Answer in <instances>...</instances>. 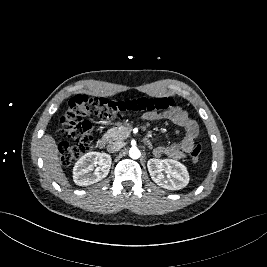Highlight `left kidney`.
<instances>
[{"label": "left kidney", "mask_w": 267, "mask_h": 267, "mask_svg": "<svg viewBox=\"0 0 267 267\" xmlns=\"http://www.w3.org/2000/svg\"><path fill=\"white\" fill-rule=\"evenodd\" d=\"M152 180L162 188L179 190L189 182V174L186 167L173 159H149L147 163ZM167 175H164L162 172Z\"/></svg>", "instance_id": "1"}]
</instances>
